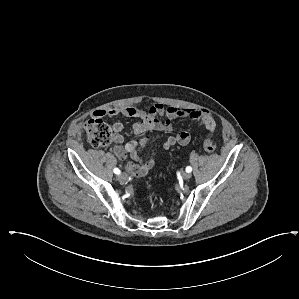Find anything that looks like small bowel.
I'll use <instances>...</instances> for the list:
<instances>
[{
	"label": "small bowel",
	"instance_id": "c3829d8e",
	"mask_svg": "<svg viewBox=\"0 0 299 299\" xmlns=\"http://www.w3.org/2000/svg\"><path fill=\"white\" fill-rule=\"evenodd\" d=\"M123 115L129 118H135L137 121L133 124V131L137 135H144L142 138L130 140L124 145L121 132L124 126L120 122L113 125L114 145L113 153L120 160L124 161L129 155L133 162L127 161L126 167L134 176H144L151 170L155 164L158 149L147 161H142L139 157L140 150L147 144L150 137L146 135L152 131L171 132L173 130V121L177 119H189L200 122L210 134H213L216 128V122L210 111L207 109H189L180 107H164L160 103L153 104L147 111L135 107H114L109 109L96 110L95 117L113 118ZM190 141V134L187 131H180L175 135L167 136L161 144V148L168 150L175 145H186Z\"/></svg>",
	"mask_w": 299,
	"mask_h": 299
}]
</instances>
